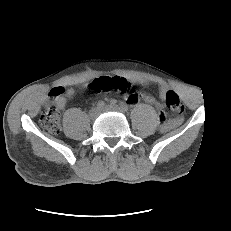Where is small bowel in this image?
<instances>
[{
	"label": "small bowel",
	"instance_id": "1",
	"mask_svg": "<svg viewBox=\"0 0 231 231\" xmlns=\"http://www.w3.org/2000/svg\"><path fill=\"white\" fill-rule=\"evenodd\" d=\"M55 89H61L62 90V94L60 96H58L57 98H55V100H56V103H57L58 107L63 108L66 105L67 100H69L70 98H72L74 96V90L73 89H66L65 90V89H63L61 87H57ZM167 91H168L167 86L166 85H161V87H160V95H161V97H165V94H166ZM126 100H127V102L129 104H137L140 101H145V102H148V103H151V104H156V100L153 97H151L149 95H146L144 93H140V92L128 94ZM175 123L176 122L173 121L171 124H175ZM162 127L166 128L167 126L165 124Z\"/></svg>",
	"mask_w": 231,
	"mask_h": 231
}]
</instances>
